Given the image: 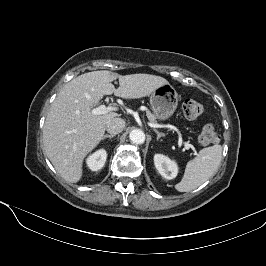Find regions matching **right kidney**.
<instances>
[{
	"instance_id": "ca27d5eb",
	"label": "right kidney",
	"mask_w": 266,
	"mask_h": 266,
	"mask_svg": "<svg viewBox=\"0 0 266 266\" xmlns=\"http://www.w3.org/2000/svg\"><path fill=\"white\" fill-rule=\"evenodd\" d=\"M106 158H107L106 151L104 149H100V150H97L92 155H90L87 158L86 162H87L88 167L92 171H98L104 166L106 162Z\"/></svg>"
}]
</instances>
